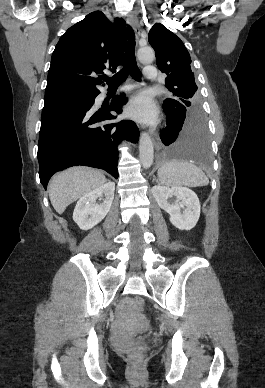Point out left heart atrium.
Masks as SVG:
<instances>
[{"label": "left heart atrium", "mask_w": 265, "mask_h": 388, "mask_svg": "<svg viewBox=\"0 0 265 388\" xmlns=\"http://www.w3.org/2000/svg\"><path fill=\"white\" fill-rule=\"evenodd\" d=\"M127 113L139 119L151 120L156 116L157 111L150 95L140 93L128 106Z\"/></svg>", "instance_id": "39dd6f15"}]
</instances>
